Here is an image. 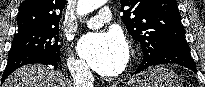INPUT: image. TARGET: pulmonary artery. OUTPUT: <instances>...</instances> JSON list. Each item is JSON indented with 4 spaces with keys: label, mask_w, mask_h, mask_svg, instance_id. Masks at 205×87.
Returning a JSON list of instances; mask_svg holds the SVG:
<instances>
[{
    "label": "pulmonary artery",
    "mask_w": 205,
    "mask_h": 87,
    "mask_svg": "<svg viewBox=\"0 0 205 87\" xmlns=\"http://www.w3.org/2000/svg\"><path fill=\"white\" fill-rule=\"evenodd\" d=\"M112 20H113V13L111 9L108 7H103L99 10L97 15L86 19L85 23L89 28L96 29Z\"/></svg>",
    "instance_id": "obj_1"
}]
</instances>
